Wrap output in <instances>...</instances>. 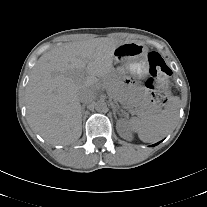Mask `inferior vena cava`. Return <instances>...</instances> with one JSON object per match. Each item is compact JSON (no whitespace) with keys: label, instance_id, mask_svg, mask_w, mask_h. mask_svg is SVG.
<instances>
[{"label":"inferior vena cava","instance_id":"obj_1","mask_svg":"<svg viewBox=\"0 0 207 207\" xmlns=\"http://www.w3.org/2000/svg\"><path fill=\"white\" fill-rule=\"evenodd\" d=\"M80 102L89 103L92 102L95 98V93L93 90L84 88L78 93Z\"/></svg>","mask_w":207,"mask_h":207}]
</instances>
